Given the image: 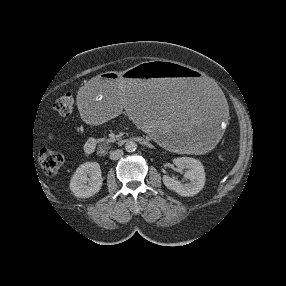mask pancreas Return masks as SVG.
I'll list each match as a JSON object with an SVG mask.
<instances>
[{
  "instance_id": "pancreas-1",
  "label": "pancreas",
  "mask_w": 286,
  "mask_h": 286,
  "mask_svg": "<svg viewBox=\"0 0 286 286\" xmlns=\"http://www.w3.org/2000/svg\"><path fill=\"white\" fill-rule=\"evenodd\" d=\"M116 140H118V137H109V138L99 139L100 142H106V143L115 142Z\"/></svg>"
}]
</instances>
